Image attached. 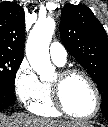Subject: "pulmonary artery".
Listing matches in <instances>:
<instances>
[{
    "label": "pulmonary artery",
    "mask_w": 108,
    "mask_h": 127,
    "mask_svg": "<svg viewBox=\"0 0 108 127\" xmlns=\"http://www.w3.org/2000/svg\"><path fill=\"white\" fill-rule=\"evenodd\" d=\"M50 57L55 64L63 66L67 61V51L59 42H53L50 46Z\"/></svg>",
    "instance_id": "pulmonary-artery-1"
}]
</instances>
